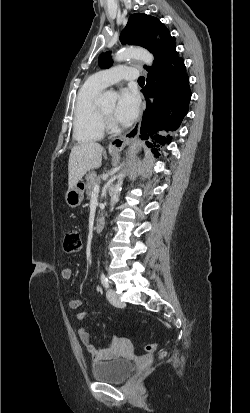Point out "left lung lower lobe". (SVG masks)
<instances>
[{"label":"left lung lower lobe","instance_id":"left-lung-lower-lobe-1","mask_svg":"<svg viewBox=\"0 0 250 413\" xmlns=\"http://www.w3.org/2000/svg\"><path fill=\"white\" fill-rule=\"evenodd\" d=\"M154 64L147 76V85L141 90L146 99L140 137L153 142L147 146L159 147L170 143L172 137L158 134L159 131H175L179 128L184 115L188 112L191 90L184 60L172 43L163 45L153 52ZM153 153L158 149L154 148ZM159 156V153H157Z\"/></svg>","mask_w":250,"mask_h":413}]
</instances>
